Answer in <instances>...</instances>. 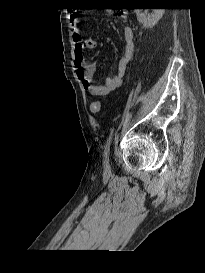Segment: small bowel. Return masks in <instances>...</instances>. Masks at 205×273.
I'll use <instances>...</instances> for the list:
<instances>
[{
    "label": "small bowel",
    "mask_w": 205,
    "mask_h": 273,
    "mask_svg": "<svg viewBox=\"0 0 205 273\" xmlns=\"http://www.w3.org/2000/svg\"><path fill=\"white\" fill-rule=\"evenodd\" d=\"M121 18L127 19V15L122 14ZM80 19V16L77 14H71L70 16V23L74 28V65L76 68V74L88 94L93 96L107 95L111 91L118 88L122 83V78L133 54V31L130 27H125L123 29L125 50L117 63L116 73L114 75L107 76L102 84H96L93 80L96 71V64L93 62H84V50L95 49L97 47V42L94 39L81 38L79 30L77 28Z\"/></svg>",
    "instance_id": "obj_1"
}]
</instances>
